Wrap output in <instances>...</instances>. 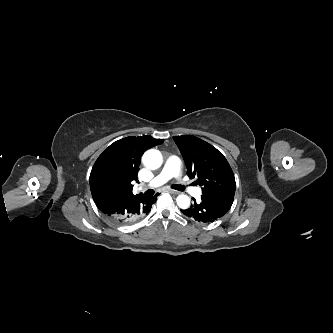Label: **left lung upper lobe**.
Here are the masks:
<instances>
[{"mask_svg":"<svg viewBox=\"0 0 333 333\" xmlns=\"http://www.w3.org/2000/svg\"><path fill=\"white\" fill-rule=\"evenodd\" d=\"M179 147L191 179L202 186L204 197L233 203L235 178L223 154L215 147L191 135L173 137Z\"/></svg>","mask_w":333,"mask_h":333,"instance_id":"obj_1","label":"left lung upper lobe"}]
</instances>
